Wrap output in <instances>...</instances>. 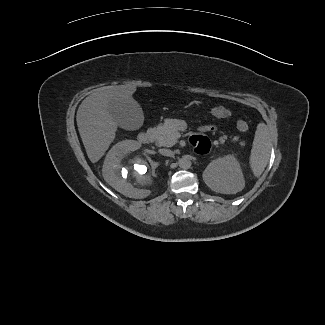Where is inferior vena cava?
<instances>
[{"instance_id":"inferior-vena-cava-1","label":"inferior vena cava","mask_w":325,"mask_h":325,"mask_svg":"<svg viewBox=\"0 0 325 325\" xmlns=\"http://www.w3.org/2000/svg\"><path fill=\"white\" fill-rule=\"evenodd\" d=\"M160 154H162L164 156H169V157H173L174 156L173 151H171L169 149H160Z\"/></svg>"}]
</instances>
